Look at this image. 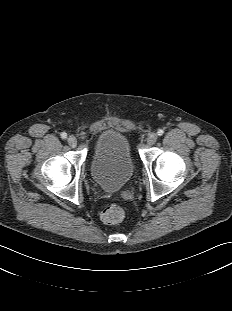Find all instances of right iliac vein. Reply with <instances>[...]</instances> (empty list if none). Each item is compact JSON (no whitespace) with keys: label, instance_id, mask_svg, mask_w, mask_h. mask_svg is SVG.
<instances>
[{"label":"right iliac vein","instance_id":"63e3f726","mask_svg":"<svg viewBox=\"0 0 232 311\" xmlns=\"http://www.w3.org/2000/svg\"><path fill=\"white\" fill-rule=\"evenodd\" d=\"M67 142L73 148L77 145V139L74 136H69Z\"/></svg>","mask_w":232,"mask_h":311}]
</instances>
